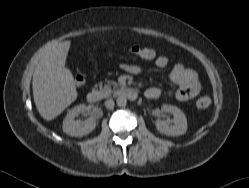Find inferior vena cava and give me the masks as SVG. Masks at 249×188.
I'll list each match as a JSON object with an SVG mask.
<instances>
[{"mask_svg":"<svg viewBox=\"0 0 249 188\" xmlns=\"http://www.w3.org/2000/svg\"><path fill=\"white\" fill-rule=\"evenodd\" d=\"M114 101L112 99H108L105 101V106L107 109H113L114 108Z\"/></svg>","mask_w":249,"mask_h":188,"instance_id":"inferior-vena-cava-1","label":"inferior vena cava"}]
</instances>
